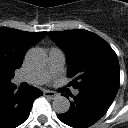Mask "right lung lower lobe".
Returning <instances> with one entry per match:
<instances>
[{"label": "right lung lower lobe", "mask_w": 128, "mask_h": 128, "mask_svg": "<svg viewBox=\"0 0 128 128\" xmlns=\"http://www.w3.org/2000/svg\"><path fill=\"white\" fill-rule=\"evenodd\" d=\"M43 92L30 86L15 90L13 83L0 88V128H15L29 116L33 101Z\"/></svg>", "instance_id": "1"}]
</instances>
